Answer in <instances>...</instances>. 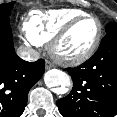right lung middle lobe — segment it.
I'll return each mask as SVG.
<instances>
[{"label": "right lung middle lobe", "instance_id": "right-lung-middle-lobe-1", "mask_svg": "<svg viewBox=\"0 0 117 117\" xmlns=\"http://www.w3.org/2000/svg\"><path fill=\"white\" fill-rule=\"evenodd\" d=\"M15 2L0 4V17H9Z\"/></svg>", "mask_w": 117, "mask_h": 117}]
</instances>
